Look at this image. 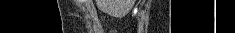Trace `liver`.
Segmentation results:
<instances>
[{"instance_id": "1", "label": "liver", "mask_w": 235, "mask_h": 33, "mask_svg": "<svg viewBox=\"0 0 235 33\" xmlns=\"http://www.w3.org/2000/svg\"><path fill=\"white\" fill-rule=\"evenodd\" d=\"M95 2L98 9L114 17L128 14L135 4L134 0H96Z\"/></svg>"}]
</instances>
